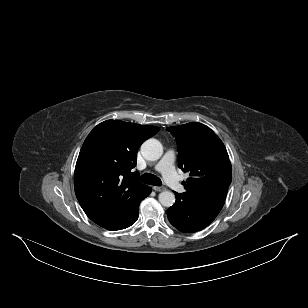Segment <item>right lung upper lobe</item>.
Listing matches in <instances>:
<instances>
[{"label": "right lung upper lobe", "instance_id": "right-lung-upper-lobe-1", "mask_svg": "<svg viewBox=\"0 0 308 308\" xmlns=\"http://www.w3.org/2000/svg\"><path fill=\"white\" fill-rule=\"evenodd\" d=\"M158 127L120 120L98 124L80 150L75 172L76 197L86 215L99 226H120L133 213L147 188L131 170L140 145Z\"/></svg>", "mask_w": 308, "mask_h": 308}]
</instances>
